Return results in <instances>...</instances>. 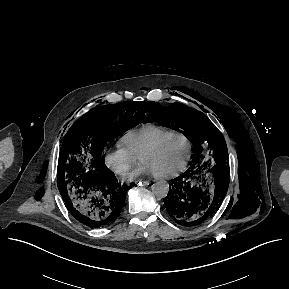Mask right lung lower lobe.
I'll list each match as a JSON object with an SVG mask.
<instances>
[{
  "mask_svg": "<svg viewBox=\"0 0 289 289\" xmlns=\"http://www.w3.org/2000/svg\"><path fill=\"white\" fill-rule=\"evenodd\" d=\"M131 186H122L105 166L98 171L85 172L60 193L76 220L90 228H101L111 225L118 218Z\"/></svg>",
  "mask_w": 289,
  "mask_h": 289,
  "instance_id": "1",
  "label": "right lung lower lobe"
}]
</instances>
